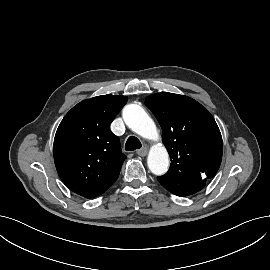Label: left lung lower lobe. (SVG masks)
Returning <instances> with one entry per match:
<instances>
[{
  "instance_id": "left-lung-lower-lobe-1",
  "label": "left lung lower lobe",
  "mask_w": 270,
  "mask_h": 270,
  "mask_svg": "<svg viewBox=\"0 0 270 270\" xmlns=\"http://www.w3.org/2000/svg\"><path fill=\"white\" fill-rule=\"evenodd\" d=\"M178 196H187V195H178Z\"/></svg>"
}]
</instances>
